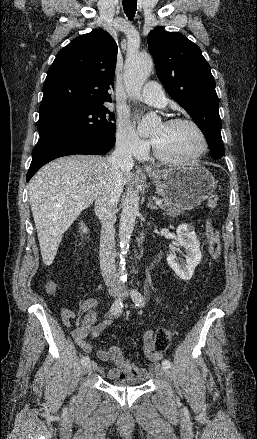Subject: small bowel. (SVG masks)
Returning <instances> with one entry per match:
<instances>
[{
  "instance_id": "1",
  "label": "small bowel",
  "mask_w": 257,
  "mask_h": 439,
  "mask_svg": "<svg viewBox=\"0 0 257 439\" xmlns=\"http://www.w3.org/2000/svg\"><path fill=\"white\" fill-rule=\"evenodd\" d=\"M97 302L94 299L86 300L80 307V311L85 313L83 319L74 330V337L84 353L94 352L93 346L87 338L98 337L112 323L111 318L98 319ZM75 314L71 310L62 312V320L69 326ZM142 349L146 358L153 364L150 368L139 367L125 357L124 349L120 346H112L109 350H99L98 357L107 363H112L113 367L107 370L106 376L109 379H126L129 383L140 385L152 378L158 369V362L162 359V353L154 349V331L147 330L142 334ZM92 368L97 369L98 364L91 361Z\"/></svg>"
}]
</instances>
